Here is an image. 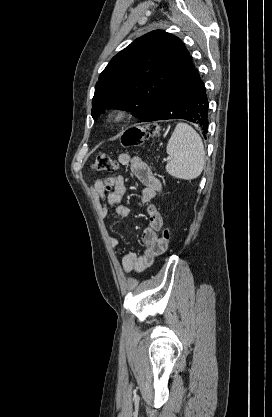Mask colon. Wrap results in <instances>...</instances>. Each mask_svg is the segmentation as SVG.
<instances>
[{
	"instance_id": "1",
	"label": "colon",
	"mask_w": 272,
	"mask_h": 417,
	"mask_svg": "<svg viewBox=\"0 0 272 417\" xmlns=\"http://www.w3.org/2000/svg\"><path fill=\"white\" fill-rule=\"evenodd\" d=\"M160 129L155 123H148L128 128L121 136V142L126 147L139 146L146 139L159 136ZM92 169L96 172H113L117 169L116 160L108 154L100 153L96 155L92 164ZM171 238V228L167 227L161 236L163 243H168Z\"/></svg>"
}]
</instances>
